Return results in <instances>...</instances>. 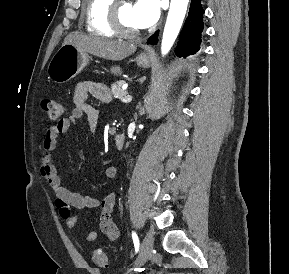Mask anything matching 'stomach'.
<instances>
[{"instance_id": "0dacf381", "label": "stomach", "mask_w": 289, "mask_h": 274, "mask_svg": "<svg viewBox=\"0 0 289 274\" xmlns=\"http://www.w3.org/2000/svg\"><path fill=\"white\" fill-rule=\"evenodd\" d=\"M89 58L86 52L79 50L74 45L63 44L48 65V78L58 84L68 82L86 67ZM135 60L138 66L145 68L149 67L151 63L150 56L144 53L138 55Z\"/></svg>"}]
</instances>
